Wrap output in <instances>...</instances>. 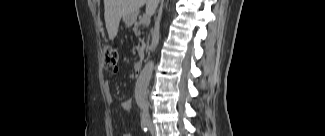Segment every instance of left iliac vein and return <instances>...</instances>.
Here are the masks:
<instances>
[{
  "mask_svg": "<svg viewBox=\"0 0 325 136\" xmlns=\"http://www.w3.org/2000/svg\"><path fill=\"white\" fill-rule=\"evenodd\" d=\"M149 120V130L151 133H154L155 131V127H154V124L152 123V121L150 119Z\"/></svg>",
  "mask_w": 325,
  "mask_h": 136,
  "instance_id": "1",
  "label": "left iliac vein"
}]
</instances>
